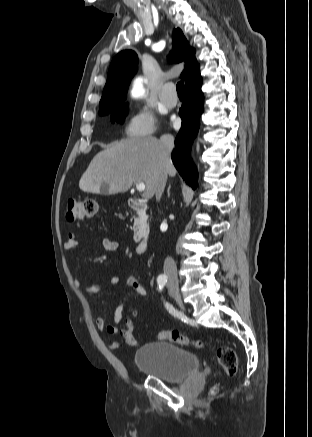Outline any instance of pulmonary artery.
<instances>
[{
	"label": "pulmonary artery",
	"mask_w": 312,
	"mask_h": 437,
	"mask_svg": "<svg viewBox=\"0 0 312 437\" xmlns=\"http://www.w3.org/2000/svg\"><path fill=\"white\" fill-rule=\"evenodd\" d=\"M161 102L167 107H174L177 104L178 97L173 91L172 83L165 84L159 94Z\"/></svg>",
	"instance_id": "pulmonary-artery-1"
}]
</instances>
